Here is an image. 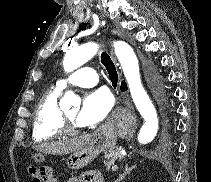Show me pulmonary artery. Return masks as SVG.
<instances>
[{
    "instance_id": "pulmonary-artery-1",
    "label": "pulmonary artery",
    "mask_w": 211,
    "mask_h": 182,
    "mask_svg": "<svg viewBox=\"0 0 211 182\" xmlns=\"http://www.w3.org/2000/svg\"><path fill=\"white\" fill-rule=\"evenodd\" d=\"M99 81L97 72L89 67H82L75 70L68 77L60 79L57 82V87L65 89L68 85H76L81 87L95 86Z\"/></svg>"
}]
</instances>
